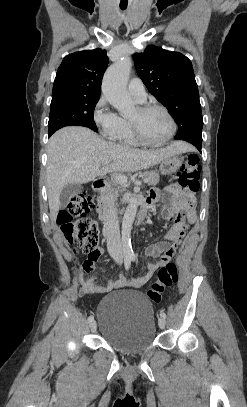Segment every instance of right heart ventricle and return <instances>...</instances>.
Returning a JSON list of instances; mask_svg holds the SVG:
<instances>
[{"instance_id":"right-heart-ventricle-1","label":"right heart ventricle","mask_w":247,"mask_h":407,"mask_svg":"<svg viewBox=\"0 0 247 407\" xmlns=\"http://www.w3.org/2000/svg\"><path fill=\"white\" fill-rule=\"evenodd\" d=\"M114 140L128 146H137L139 144L132 135L129 121L124 118H122L121 127Z\"/></svg>"}]
</instances>
